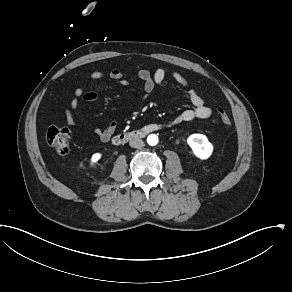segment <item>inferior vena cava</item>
<instances>
[{
    "mask_svg": "<svg viewBox=\"0 0 292 292\" xmlns=\"http://www.w3.org/2000/svg\"><path fill=\"white\" fill-rule=\"evenodd\" d=\"M129 145L132 148H141L144 146V142L140 138H133L132 140H130Z\"/></svg>",
    "mask_w": 292,
    "mask_h": 292,
    "instance_id": "1",
    "label": "inferior vena cava"
}]
</instances>
